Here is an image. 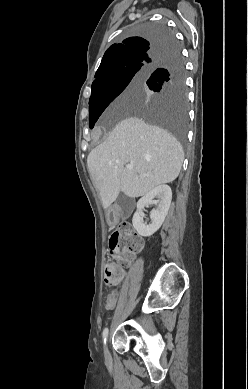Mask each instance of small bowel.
<instances>
[{
    "mask_svg": "<svg viewBox=\"0 0 248 389\" xmlns=\"http://www.w3.org/2000/svg\"><path fill=\"white\" fill-rule=\"evenodd\" d=\"M118 301V295L116 293H110L106 299V308L112 310Z\"/></svg>",
    "mask_w": 248,
    "mask_h": 389,
    "instance_id": "small-bowel-1",
    "label": "small bowel"
}]
</instances>
